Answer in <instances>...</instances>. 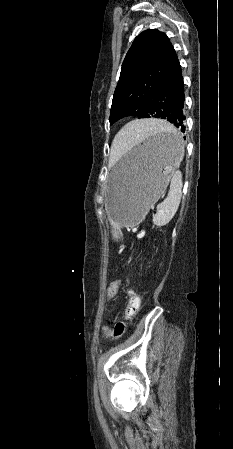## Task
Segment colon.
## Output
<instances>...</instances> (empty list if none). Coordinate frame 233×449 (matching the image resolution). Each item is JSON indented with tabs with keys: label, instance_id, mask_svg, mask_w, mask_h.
Returning a JSON list of instances; mask_svg holds the SVG:
<instances>
[{
	"label": "colon",
	"instance_id": "colon-1",
	"mask_svg": "<svg viewBox=\"0 0 233 449\" xmlns=\"http://www.w3.org/2000/svg\"><path fill=\"white\" fill-rule=\"evenodd\" d=\"M122 283L123 280L121 277H114L113 280L110 281V284H108L106 290L108 299H113L115 296L119 295ZM139 309H140V297L135 290L130 288L128 291V301L125 310V319L124 321L118 322L115 325L113 332L109 333V335L114 338L122 337L126 331L127 324L136 317Z\"/></svg>",
	"mask_w": 233,
	"mask_h": 449
}]
</instances>
